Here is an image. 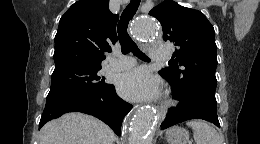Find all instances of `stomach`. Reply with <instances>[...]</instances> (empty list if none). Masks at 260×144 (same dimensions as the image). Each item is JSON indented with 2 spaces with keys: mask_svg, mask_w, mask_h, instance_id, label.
<instances>
[{
  "mask_svg": "<svg viewBox=\"0 0 260 144\" xmlns=\"http://www.w3.org/2000/svg\"><path fill=\"white\" fill-rule=\"evenodd\" d=\"M166 139L169 144H187L189 132L182 127L175 126L166 131Z\"/></svg>",
  "mask_w": 260,
  "mask_h": 144,
  "instance_id": "obj_1",
  "label": "stomach"
}]
</instances>
